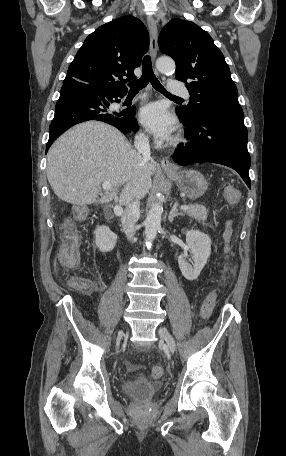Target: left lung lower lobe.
<instances>
[{
  "mask_svg": "<svg viewBox=\"0 0 286 456\" xmlns=\"http://www.w3.org/2000/svg\"><path fill=\"white\" fill-rule=\"evenodd\" d=\"M176 111L187 128L185 137L190 143L177 148L173 160L180 165L198 162L226 165L236 170L250 188L251 160L244 119L218 112H202L194 120H187Z\"/></svg>",
  "mask_w": 286,
  "mask_h": 456,
  "instance_id": "obj_1",
  "label": "left lung lower lobe"
}]
</instances>
